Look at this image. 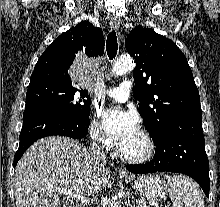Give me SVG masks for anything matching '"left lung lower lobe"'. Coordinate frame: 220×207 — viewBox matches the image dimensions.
Masks as SVG:
<instances>
[{"instance_id": "0a47b994", "label": "left lung lower lobe", "mask_w": 220, "mask_h": 207, "mask_svg": "<svg viewBox=\"0 0 220 207\" xmlns=\"http://www.w3.org/2000/svg\"><path fill=\"white\" fill-rule=\"evenodd\" d=\"M156 158L144 165H129L133 173L177 172L192 177L209 196V161L205 151L202 114L189 113L173 120L156 139Z\"/></svg>"}]
</instances>
